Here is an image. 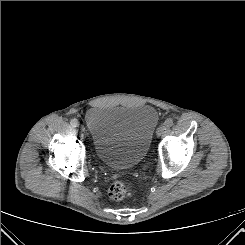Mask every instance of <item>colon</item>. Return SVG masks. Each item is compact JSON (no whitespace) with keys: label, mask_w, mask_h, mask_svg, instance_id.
<instances>
[{"label":"colon","mask_w":245,"mask_h":245,"mask_svg":"<svg viewBox=\"0 0 245 245\" xmlns=\"http://www.w3.org/2000/svg\"><path fill=\"white\" fill-rule=\"evenodd\" d=\"M133 192V186L127 181H116L108 190V195L112 200L120 201L128 198Z\"/></svg>","instance_id":"1"}]
</instances>
